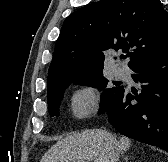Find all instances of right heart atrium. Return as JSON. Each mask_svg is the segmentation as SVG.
Instances as JSON below:
<instances>
[{
	"label": "right heart atrium",
	"mask_w": 168,
	"mask_h": 162,
	"mask_svg": "<svg viewBox=\"0 0 168 162\" xmlns=\"http://www.w3.org/2000/svg\"><path fill=\"white\" fill-rule=\"evenodd\" d=\"M72 111L79 117L88 116L97 111L98 100L91 87H83L75 92L71 101Z\"/></svg>",
	"instance_id": "d8ad5b80"
}]
</instances>
